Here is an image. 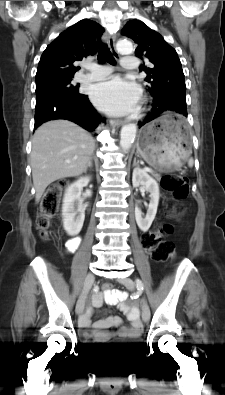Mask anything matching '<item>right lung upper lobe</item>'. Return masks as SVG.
<instances>
[{
    "label": "right lung upper lobe",
    "instance_id": "obj_1",
    "mask_svg": "<svg viewBox=\"0 0 225 395\" xmlns=\"http://www.w3.org/2000/svg\"><path fill=\"white\" fill-rule=\"evenodd\" d=\"M104 29L98 23L85 19L62 32L43 52L36 73V86L72 79L80 68L75 65L97 51L96 37Z\"/></svg>",
    "mask_w": 225,
    "mask_h": 395
}]
</instances>
